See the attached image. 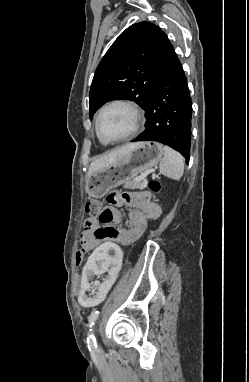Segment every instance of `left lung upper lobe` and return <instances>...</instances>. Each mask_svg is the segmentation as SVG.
Wrapping results in <instances>:
<instances>
[{
	"instance_id": "left-lung-upper-lobe-1",
	"label": "left lung upper lobe",
	"mask_w": 249,
	"mask_h": 382,
	"mask_svg": "<svg viewBox=\"0 0 249 382\" xmlns=\"http://www.w3.org/2000/svg\"><path fill=\"white\" fill-rule=\"evenodd\" d=\"M175 51L156 25L140 22L123 31L100 61L92 81L90 118L110 100L135 101L145 111Z\"/></svg>"
}]
</instances>
